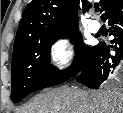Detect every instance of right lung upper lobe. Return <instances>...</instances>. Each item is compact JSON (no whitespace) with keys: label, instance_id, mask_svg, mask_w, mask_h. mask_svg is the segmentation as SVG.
I'll return each instance as SVG.
<instances>
[{"label":"right lung upper lobe","instance_id":"obj_1","mask_svg":"<svg viewBox=\"0 0 123 113\" xmlns=\"http://www.w3.org/2000/svg\"><path fill=\"white\" fill-rule=\"evenodd\" d=\"M115 0H100L101 18ZM92 6L87 0H32L25 8L14 41V48L43 36L78 29L77 11Z\"/></svg>","mask_w":123,"mask_h":113}]
</instances>
